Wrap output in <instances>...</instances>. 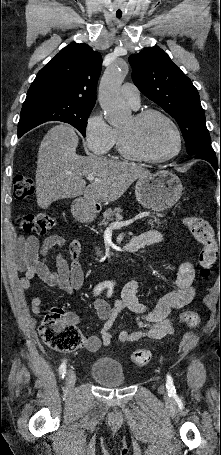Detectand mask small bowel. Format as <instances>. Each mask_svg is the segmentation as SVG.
Here are the masks:
<instances>
[{
  "label": "small bowel",
  "mask_w": 221,
  "mask_h": 455,
  "mask_svg": "<svg viewBox=\"0 0 221 455\" xmlns=\"http://www.w3.org/2000/svg\"><path fill=\"white\" fill-rule=\"evenodd\" d=\"M137 238L144 246L161 244L165 240L163 234L156 230H149ZM65 246V240L57 234L49 235L43 241L34 235L24 238L15 257L17 268L23 272L19 281L20 287L30 290L31 280L39 277L47 285L59 287L68 294L77 292L82 287L84 280L79 263L80 242L72 239L67 243L69 258L62 252ZM51 249L57 250L54 255L55 268H52L47 260V254ZM194 280L193 265L190 262H183L178 269L174 289L152 306L139 299L142 285L138 280H130L123 286L121 295L115 299L112 308L106 300L96 299L94 308L103 324L99 330V336H90L87 339L86 349L95 352L101 345L107 347L112 344L114 337L110 329L118 314L124 309L130 310L136 315L138 330L121 331L118 335L121 342L130 343L143 339L160 340L173 333V314L188 305L195 297ZM31 304L34 312L41 311V299L38 296L32 298ZM69 318L73 322H77L75 316L71 315Z\"/></svg>",
  "instance_id": "obj_1"
}]
</instances>
